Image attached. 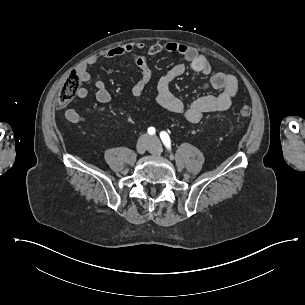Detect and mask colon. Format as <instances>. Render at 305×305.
Masks as SVG:
<instances>
[{
	"label": "colon",
	"mask_w": 305,
	"mask_h": 305,
	"mask_svg": "<svg viewBox=\"0 0 305 305\" xmlns=\"http://www.w3.org/2000/svg\"><path fill=\"white\" fill-rule=\"evenodd\" d=\"M81 84V74L76 69H69L64 74V82L60 89L59 102L65 108H72L77 103V93ZM252 111L249 107L239 110V115L249 117Z\"/></svg>",
	"instance_id": "colon-1"
}]
</instances>
